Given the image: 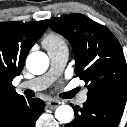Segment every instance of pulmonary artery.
<instances>
[{
	"instance_id": "1",
	"label": "pulmonary artery",
	"mask_w": 127,
	"mask_h": 127,
	"mask_svg": "<svg viewBox=\"0 0 127 127\" xmlns=\"http://www.w3.org/2000/svg\"><path fill=\"white\" fill-rule=\"evenodd\" d=\"M48 54L51 61L49 72L42 76L22 82L19 85L20 88H27L34 91L46 89L52 84L56 77L61 74L68 60V49L62 48L55 51H49ZM78 101L81 104L87 101V93L85 91L79 95Z\"/></svg>"
}]
</instances>
